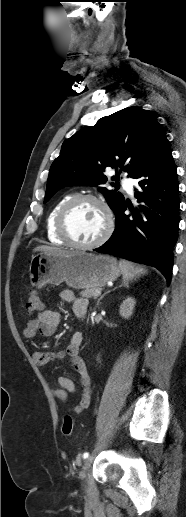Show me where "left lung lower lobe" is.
Segmentation results:
<instances>
[{
	"label": "left lung lower lobe",
	"mask_w": 186,
	"mask_h": 517,
	"mask_svg": "<svg viewBox=\"0 0 186 517\" xmlns=\"http://www.w3.org/2000/svg\"><path fill=\"white\" fill-rule=\"evenodd\" d=\"M131 177L139 180L140 204L133 208L124 202L115 211L113 235L94 251L156 267L169 284L180 220L177 171L166 137ZM127 207L131 215L124 213Z\"/></svg>",
	"instance_id": "obj_1"
}]
</instances>
